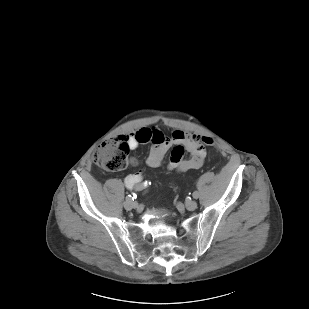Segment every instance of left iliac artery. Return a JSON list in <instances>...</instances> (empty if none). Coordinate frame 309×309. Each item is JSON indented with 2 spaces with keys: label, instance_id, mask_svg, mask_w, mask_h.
Instances as JSON below:
<instances>
[{
  "label": "left iliac artery",
  "instance_id": "obj_1",
  "mask_svg": "<svg viewBox=\"0 0 309 309\" xmlns=\"http://www.w3.org/2000/svg\"><path fill=\"white\" fill-rule=\"evenodd\" d=\"M192 196H193V198L197 199L199 197V194H198V192L195 191V192H193Z\"/></svg>",
  "mask_w": 309,
  "mask_h": 309
}]
</instances>
